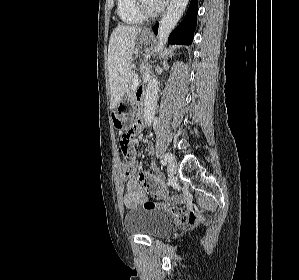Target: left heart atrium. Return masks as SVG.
Instances as JSON below:
<instances>
[{"label": "left heart atrium", "mask_w": 299, "mask_h": 280, "mask_svg": "<svg viewBox=\"0 0 299 280\" xmlns=\"http://www.w3.org/2000/svg\"><path fill=\"white\" fill-rule=\"evenodd\" d=\"M160 4L165 3L166 0H157Z\"/></svg>", "instance_id": "obj_1"}]
</instances>
